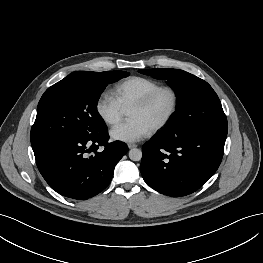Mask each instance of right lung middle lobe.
<instances>
[{
  "mask_svg": "<svg viewBox=\"0 0 263 263\" xmlns=\"http://www.w3.org/2000/svg\"><path fill=\"white\" fill-rule=\"evenodd\" d=\"M128 72L106 71L70 74L42 95L31 129L33 151L54 141L96 134L106 128L97 111L101 93L109 83Z\"/></svg>",
  "mask_w": 263,
  "mask_h": 263,
  "instance_id": "1",
  "label": "right lung middle lobe"
}]
</instances>
